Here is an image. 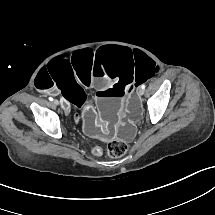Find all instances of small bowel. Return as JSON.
<instances>
[{"label":"small bowel","mask_w":215,"mask_h":215,"mask_svg":"<svg viewBox=\"0 0 215 215\" xmlns=\"http://www.w3.org/2000/svg\"><path fill=\"white\" fill-rule=\"evenodd\" d=\"M94 151H96V153L101 154V149L100 148H95Z\"/></svg>","instance_id":"1"}]
</instances>
